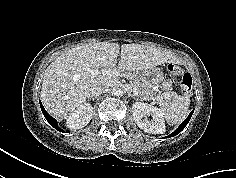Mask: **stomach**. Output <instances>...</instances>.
Listing matches in <instances>:
<instances>
[{
  "label": "stomach",
  "mask_w": 236,
  "mask_h": 178,
  "mask_svg": "<svg viewBox=\"0 0 236 178\" xmlns=\"http://www.w3.org/2000/svg\"><path fill=\"white\" fill-rule=\"evenodd\" d=\"M138 78L146 89H152L154 86H157L163 81L164 74L160 68L154 67L148 70L140 71L138 73Z\"/></svg>",
  "instance_id": "obj_1"
}]
</instances>
